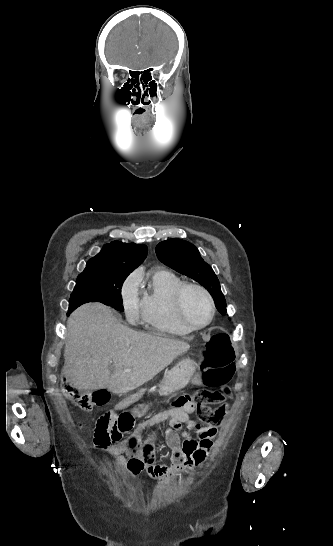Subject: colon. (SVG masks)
Returning <instances> with one entry per match:
<instances>
[{
    "label": "colon",
    "instance_id": "obj_1",
    "mask_svg": "<svg viewBox=\"0 0 333 546\" xmlns=\"http://www.w3.org/2000/svg\"><path fill=\"white\" fill-rule=\"evenodd\" d=\"M236 371L234 351L228 337L221 333L214 334L203 352L201 382L218 392L214 393L217 394L215 397L204 399L211 402L230 397L231 391L228 382ZM67 391L72 402L85 411H90L95 406L104 405L109 400L108 394L104 391L81 392L72 387H68ZM189 401V397H181L176 401V406H184ZM139 402L145 406L149 401L143 397ZM138 415L139 410L134 407V404L128 408V413L109 411L102 415L97 420L94 431L95 446L100 449H108L118 444L129 432L130 417L136 418Z\"/></svg>",
    "mask_w": 333,
    "mask_h": 546
}]
</instances>
